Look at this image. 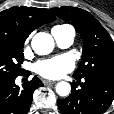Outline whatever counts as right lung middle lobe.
I'll return each instance as SVG.
<instances>
[{
	"label": "right lung middle lobe",
	"mask_w": 114,
	"mask_h": 114,
	"mask_svg": "<svg viewBox=\"0 0 114 114\" xmlns=\"http://www.w3.org/2000/svg\"><path fill=\"white\" fill-rule=\"evenodd\" d=\"M23 46L24 42L0 36V81L22 74Z\"/></svg>",
	"instance_id": "dd1d6c3e"
}]
</instances>
